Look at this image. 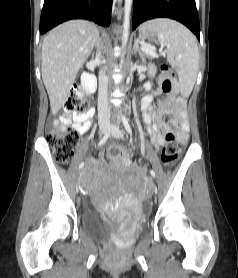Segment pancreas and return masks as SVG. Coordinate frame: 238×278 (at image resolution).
I'll list each match as a JSON object with an SVG mask.
<instances>
[{
  "label": "pancreas",
  "mask_w": 238,
  "mask_h": 278,
  "mask_svg": "<svg viewBox=\"0 0 238 278\" xmlns=\"http://www.w3.org/2000/svg\"><path fill=\"white\" fill-rule=\"evenodd\" d=\"M145 55H146L147 57H150V58L152 57V56H150V55H149V54H147V53H145Z\"/></svg>",
  "instance_id": "obj_1"
}]
</instances>
